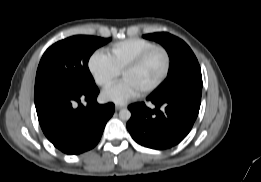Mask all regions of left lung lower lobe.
Segmentation results:
<instances>
[{
  "label": "left lung lower lobe",
  "mask_w": 261,
  "mask_h": 182,
  "mask_svg": "<svg viewBox=\"0 0 261 182\" xmlns=\"http://www.w3.org/2000/svg\"><path fill=\"white\" fill-rule=\"evenodd\" d=\"M201 94L202 89L194 88L165 99L150 95L146 100L155 105L153 110L143 102L130 105L129 133L137 143L152 149L162 150L178 144L197 118Z\"/></svg>",
  "instance_id": "left-lung-lower-lobe-1"
}]
</instances>
